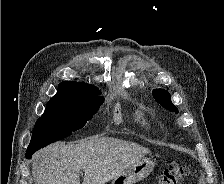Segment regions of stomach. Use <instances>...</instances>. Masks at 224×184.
<instances>
[{
    "label": "stomach",
    "mask_w": 224,
    "mask_h": 184,
    "mask_svg": "<svg viewBox=\"0 0 224 184\" xmlns=\"http://www.w3.org/2000/svg\"><path fill=\"white\" fill-rule=\"evenodd\" d=\"M154 162L142 158L128 166L120 175L112 180V184H135L145 179L153 170Z\"/></svg>",
    "instance_id": "stomach-1"
}]
</instances>
